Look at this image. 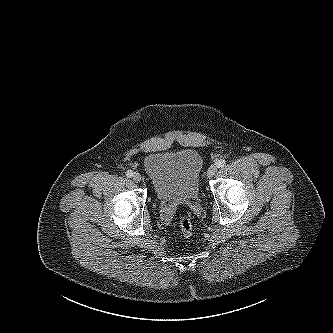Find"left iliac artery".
Returning a JSON list of instances; mask_svg holds the SVG:
<instances>
[{
	"label": "left iliac artery",
	"mask_w": 333,
	"mask_h": 333,
	"mask_svg": "<svg viewBox=\"0 0 333 333\" xmlns=\"http://www.w3.org/2000/svg\"><path fill=\"white\" fill-rule=\"evenodd\" d=\"M215 164L217 165L218 168H220V167H223L226 164V162H225V160L220 159V160L216 161Z\"/></svg>",
	"instance_id": "44dca946"
}]
</instances>
